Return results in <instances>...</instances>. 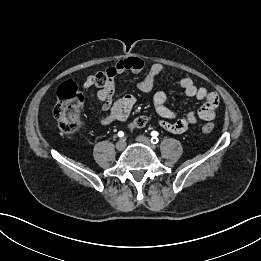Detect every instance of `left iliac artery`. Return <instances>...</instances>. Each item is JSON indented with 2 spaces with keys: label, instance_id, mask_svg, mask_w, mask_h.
<instances>
[{
  "label": "left iliac artery",
  "instance_id": "44dca946",
  "mask_svg": "<svg viewBox=\"0 0 261 261\" xmlns=\"http://www.w3.org/2000/svg\"><path fill=\"white\" fill-rule=\"evenodd\" d=\"M151 143H153V144H157L158 143V141H159V139H158V132H156V131H153V132H151Z\"/></svg>",
  "mask_w": 261,
  "mask_h": 261
}]
</instances>
